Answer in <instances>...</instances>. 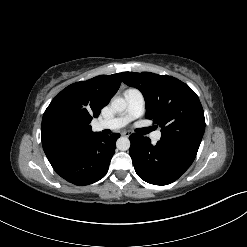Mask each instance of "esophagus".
Instances as JSON below:
<instances>
[{
	"label": "esophagus",
	"instance_id": "esophagus-1",
	"mask_svg": "<svg viewBox=\"0 0 247 247\" xmlns=\"http://www.w3.org/2000/svg\"><path fill=\"white\" fill-rule=\"evenodd\" d=\"M121 135L129 137L131 135V133L129 131H123V132H121Z\"/></svg>",
	"mask_w": 247,
	"mask_h": 247
}]
</instances>
